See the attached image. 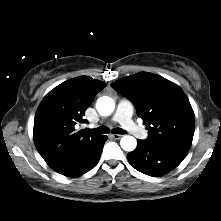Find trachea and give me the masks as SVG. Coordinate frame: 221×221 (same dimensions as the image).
I'll use <instances>...</instances> for the list:
<instances>
[{
  "label": "trachea",
  "mask_w": 221,
  "mask_h": 221,
  "mask_svg": "<svg viewBox=\"0 0 221 221\" xmlns=\"http://www.w3.org/2000/svg\"><path fill=\"white\" fill-rule=\"evenodd\" d=\"M92 132L94 133H98V134H105V133H109V128L106 127V126H100L96 129H93ZM113 133H116V134H125L126 131H124L123 129L121 128H115L112 130Z\"/></svg>",
  "instance_id": "3493384b"
}]
</instances>
